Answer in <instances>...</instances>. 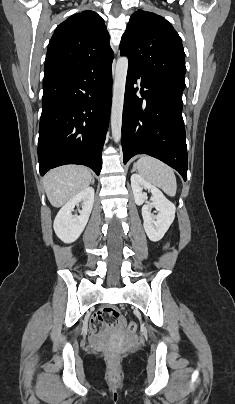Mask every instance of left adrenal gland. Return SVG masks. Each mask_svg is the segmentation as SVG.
<instances>
[{
    "instance_id": "a2214340",
    "label": "left adrenal gland",
    "mask_w": 235,
    "mask_h": 404,
    "mask_svg": "<svg viewBox=\"0 0 235 404\" xmlns=\"http://www.w3.org/2000/svg\"><path fill=\"white\" fill-rule=\"evenodd\" d=\"M136 169H135V167L133 166V169L131 170V172H134Z\"/></svg>"
}]
</instances>
